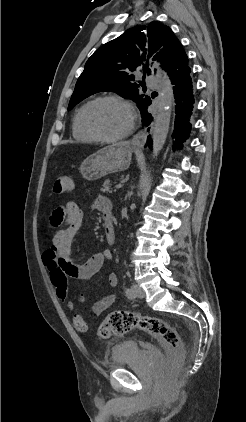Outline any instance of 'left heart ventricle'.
I'll use <instances>...</instances> for the list:
<instances>
[{
	"label": "left heart ventricle",
	"instance_id": "obj_1",
	"mask_svg": "<svg viewBox=\"0 0 246 422\" xmlns=\"http://www.w3.org/2000/svg\"><path fill=\"white\" fill-rule=\"evenodd\" d=\"M90 122L98 133L111 137L126 130L130 122V114L123 105L105 101L92 108Z\"/></svg>",
	"mask_w": 246,
	"mask_h": 422
}]
</instances>
